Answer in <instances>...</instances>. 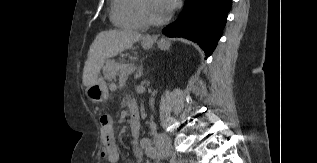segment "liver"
<instances>
[{
	"mask_svg": "<svg viewBox=\"0 0 317 163\" xmlns=\"http://www.w3.org/2000/svg\"><path fill=\"white\" fill-rule=\"evenodd\" d=\"M141 38V34L126 30H108L97 34L85 61L82 77L84 86L88 87L98 80L106 59L129 49Z\"/></svg>",
	"mask_w": 317,
	"mask_h": 163,
	"instance_id": "6515ba94",
	"label": "liver"
}]
</instances>
